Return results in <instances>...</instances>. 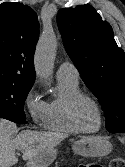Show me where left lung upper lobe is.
<instances>
[{"instance_id":"1","label":"left lung upper lobe","mask_w":125,"mask_h":167,"mask_svg":"<svg viewBox=\"0 0 125 167\" xmlns=\"http://www.w3.org/2000/svg\"><path fill=\"white\" fill-rule=\"evenodd\" d=\"M57 25L70 59L102 104L106 129L125 132V53L112 27L88 4L60 9Z\"/></svg>"}]
</instances>
